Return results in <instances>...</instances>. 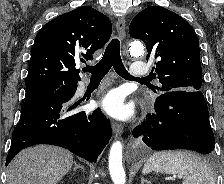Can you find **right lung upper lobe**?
<instances>
[{"label": "right lung upper lobe", "instance_id": "obj_1", "mask_svg": "<svg viewBox=\"0 0 224 184\" xmlns=\"http://www.w3.org/2000/svg\"><path fill=\"white\" fill-rule=\"evenodd\" d=\"M111 33L108 17L88 6L51 20L36 35L26 86L77 84L76 62L92 60V54L106 44Z\"/></svg>", "mask_w": 224, "mask_h": 184}]
</instances>
